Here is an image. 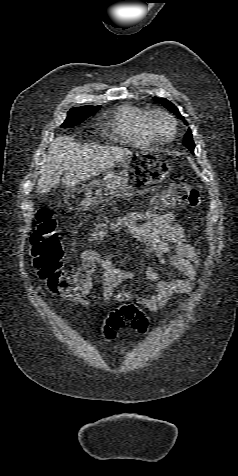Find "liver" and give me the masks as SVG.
<instances>
[{
  "label": "liver",
  "mask_w": 238,
  "mask_h": 476,
  "mask_svg": "<svg viewBox=\"0 0 238 476\" xmlns=\"http://www.w3.org/2000/svg\"><path fill=\"white\" fill-rule=\"evenodd\" d=\"M129 155L131 151L123 148L83 146L73 137H56L50 144L45 164L41 167L37 193H48L56 188L62 173L64 185L72 187L97 176Z\"/></svg>",
  "instance_id": "6515ba94"
}]
</instances>
